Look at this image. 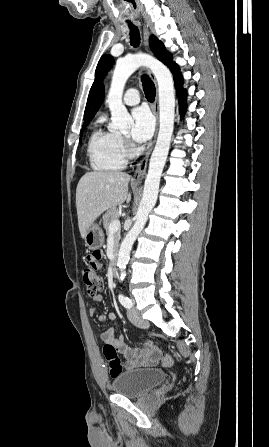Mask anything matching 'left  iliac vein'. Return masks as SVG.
Listing matches in <instances>:
<instances>
[{"label": "left iliac vein", "instance_id": "obj_1", "mask_svg": "<svg viewBox=\"0 0 269 447\" xmlns=\"http://www.w3.org/2000/svg\"><path fill=\"white\" fill-rule=\"evenodd\" d=\"M127 316L132 324L139 328H146L148 327L147 320L143 319L141 316H139L138 312L134 308H128L127 310Z\"/></svg>", "mask_w": 269, "mask_h": 447}]
</instances>
